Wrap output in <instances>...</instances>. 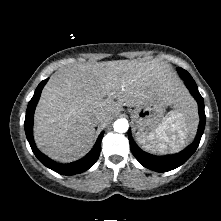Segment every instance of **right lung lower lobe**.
<instances>
[{"mask_svg": "<svg viewBox=\"0 0 221 221\" xmlns=\"http://www.w3.org/2000/svg\"><path fill=\"white\" fill-rule=\"evenodd\" d=\"M48 79L43 80L38 87L35 90V93L30 100L27 111H26V117L24 122V128L26 137L28 139V142L31 146V149L35 156L39 159L41 163H43L46 167L52 169L53 171L61 174V175H74L81 172H84L88 170L92 165L95 164L97 159L99 158L100 154V146H101V140L103 136V132L99 135L93 149L89 152L87 156L84 158L70 163V164H59L51 159H49L47 156H45L43 153H41L37 147L35 146L34 140H33V134H32V127H33V116H34V110L36 107V104L40 98L41 91L46 84Z\"/></svg>", "mask_w": 221, "mask_h": 221, "instance_id": "right-lung-lower-lobe-1", "label": "right lung lower lobe"}]
</instances>
